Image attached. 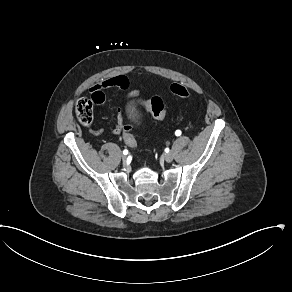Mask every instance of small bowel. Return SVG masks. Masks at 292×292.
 Wrapping results in <instances>:
<instances>
[{
  "mask_svg": "<svg viewBox=\"0 0 292 292\" xmlns=\"http://www.w3.org/2000/svg\"><path fill=\"white\" fill-rule=\"evenodd\" d=\"M108 88H118L122 90L123 95L121 99L123 101L128 100L129 98H131L137 93V91L129 90V82L127 78L124 76H115V77L103 79L92 86V90L94 91L101 90V89H108ZM114 111L118 113L116 115V120H115V125L117 126L111 127V128H106V126H102V129L104 131L102 129H99L97 132L94 129H91L89 131V134L91 136H94L96 134L98 137H101L104 133L106 135H112L115 133L120 134V131L125 128V119L123 118V115H122L123 111H121V108L119 106H116L114 108Z\"/></svg>",
  "mask_w": 292,
  "mask_h": 292,
  "instance_id": "c3829d8e",
  "label": "small bowel"
}]
</instances>
